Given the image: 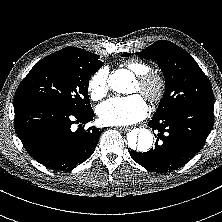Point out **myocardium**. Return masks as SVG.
<instances>
[{"label":"myocardium","mask_w":222,"mask_h":222,"mask_svg":"<svg viewBox=\"0 0 222 222\" xmlns=\"http://www.w3.org/2000/svg\"><path fill=\"white\" fill-rule=\"evenodd\" d=\"M142 94L153 104L159 103L166 92L164 76L155 72H148L137 77Z\"/></svg>","instance_id":"myocardium-1"}]
</instances>
